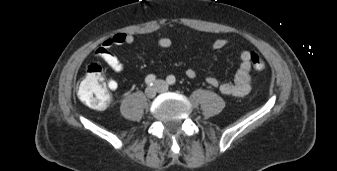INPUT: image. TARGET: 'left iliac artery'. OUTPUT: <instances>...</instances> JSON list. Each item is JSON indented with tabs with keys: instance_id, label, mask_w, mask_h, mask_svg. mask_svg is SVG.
Returning a JSON list of instances; mask_svg holds the SVG:
<instances>
[{
	"instance_id": "44dca946",
	"label": "left iliac artery",
	"mask_w": 337,
	"mask_h": 171,
	"mask_svg": "<svg viewBox=\"0 0 337 171\" xmlns=\"http://www.w3.org/2000/svg\"><path fill=\"white\" fill-rule=\"evenodd\" d=\"M167 82L170 84V85H174L175 82H176V79L173 75H170L167 77Z\"/></svg>"
}]
</instances>
